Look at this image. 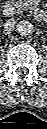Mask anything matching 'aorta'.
Segmentation results:
<instances>
[{
	"label": "aorta",
	"instance_id": "aorta-1",
	"mask_svg": "<svg viewBox=\"0 0 47 129\" xmlns=\"http://www.w3.org/2000/svg\"><path fill=\"white\" fill-rule=\"evenodd\" d=\"M16 30L21 36H28L33 33L34 26L31 22L22 20L17 24Z\"/></svg>",
	"mask_w": 47,
	"mask_h": 129
}]
</instances>
